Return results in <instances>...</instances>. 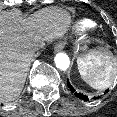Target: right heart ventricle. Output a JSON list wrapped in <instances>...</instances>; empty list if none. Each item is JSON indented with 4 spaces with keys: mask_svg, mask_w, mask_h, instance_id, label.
<instances>
[{
    "mask_svg": "<svg viewBox=\"0 0 117 117\" xmlns=\"http://www.w3.org/2000/svg\"><path fill=\"white\" fill-rule=\"evenodd\" d=\"M96 23L88 18H79L73 24V29L77 33H82L94 28Z\"/></svg>",
    "mask_w": 117,
    "mask_h": 117,
    "instance_id": "e07e8e85",
    "label": "right heart ventricle"
}]
</instances>
